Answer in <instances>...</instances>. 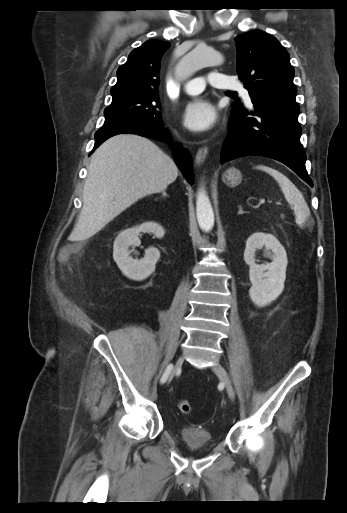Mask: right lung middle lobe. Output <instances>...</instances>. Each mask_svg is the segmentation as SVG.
<instances>
[{"mask_svg": "<svg viewBox=\"0 0 347 513\" xmlns=\"http://www.w3.org/2000/svg\"><path fill=\"white\" fill-rule=\"evenodd\" d=\"M159 94H124L112 100L104 111V124L125 119H139L158 124L162 122Z\"/></svg>", "mask_w": 347, "mask_h": 513, "instance_id": "right-lung-middle-lobe-1", "label": "right lung middle lobe"}]
</instances>
